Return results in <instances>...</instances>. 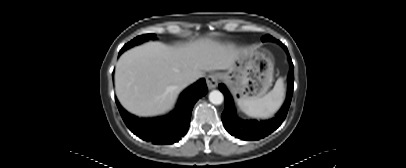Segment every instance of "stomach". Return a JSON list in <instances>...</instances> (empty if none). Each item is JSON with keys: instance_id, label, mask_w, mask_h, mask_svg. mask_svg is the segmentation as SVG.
Wrapping results in <instances>:
<instances>
[{"instance_id": "stomach-1", "label": "stomach", "mask_w": 406, "mask_h": 168, "mask_svg": "<svg viewBox=\"0 0 406 168\" xmlns=\"http://www.w3.org/2000/svg\"><path fill=\"white\" fill-rule=\"evenodd\" d=\"M274 63L270 55L257 49L241 51L234 66L221 75L237 100L262 98L273 81Z\"/></svg>"}]
</instances>
